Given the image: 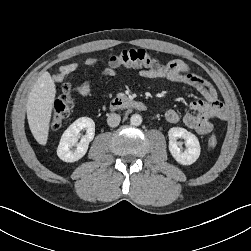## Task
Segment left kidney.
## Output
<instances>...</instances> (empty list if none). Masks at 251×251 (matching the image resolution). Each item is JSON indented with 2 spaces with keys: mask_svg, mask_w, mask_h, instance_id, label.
I'll list each match as a JSON object with an SVG mask.
<instances>
[{
  "mask_svg": "<svg viewBox=\"0 0 251 251\" xmlns=\"http://www.w3.org/2000/svg\"><path fill=\"white\" fill-rule=\"evenodd\" d=\"M169 151L173 158L181 165L193 164L200 155L198 138L191 132L181 127H173L168 131ZM185 140L186 150L182 151L177 139Z\"/></svg>",
  "mask_w": 251,
  "mask_h": 251,
  "instance_id": "1",
  "label": "left kidney"
}]
</instances>
